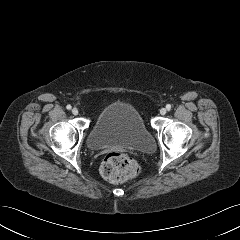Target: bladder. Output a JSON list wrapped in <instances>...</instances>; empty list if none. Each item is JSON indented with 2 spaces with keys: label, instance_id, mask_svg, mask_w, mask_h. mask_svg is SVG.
Returning <instances> with one entry per match:
<instances>
[{
  "label": "bladder",
  "instance_id": "obj_1",
  "mask_svg": "<svg viewBox=\"0 0 240 240\" xmlns=\"http://www.w3.org/2000/svg\"><path fill=\"white\" fill-rule=\"evenodd\" d=\"M87 144L91 150L123 147L151 152L155 147L139 111L131 104L121 102L109 104L98 114Z\"/></svg>",
  "mask_w": 240,
  "mask_h": 240
}]
</instances>
